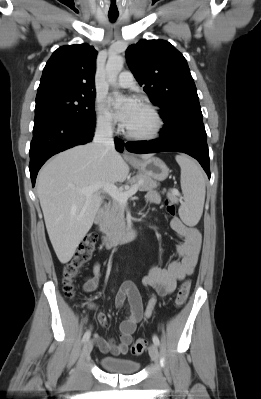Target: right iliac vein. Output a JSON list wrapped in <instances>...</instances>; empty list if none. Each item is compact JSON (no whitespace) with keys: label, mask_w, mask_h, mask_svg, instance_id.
I'll return each instance as SVG.
<instances>
[{"label":"right iliac vein","mask_w":261,"mask_h":399,"mask_svg":"<svg viewBox=\"0 0 261 399\" xmlns=\"http://www.w3.org/2000/svg\"><path fill=\"white\" fill-rule=\"evenodd\" d=\"M92 349H93V342L91 340H87L81 352L80 362H83L86 358L89 357Z\"/></svg>","instance_id":"right-iliac-vein-1"}]
</instances>
